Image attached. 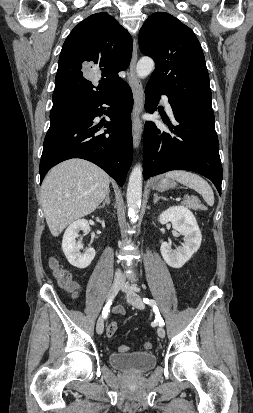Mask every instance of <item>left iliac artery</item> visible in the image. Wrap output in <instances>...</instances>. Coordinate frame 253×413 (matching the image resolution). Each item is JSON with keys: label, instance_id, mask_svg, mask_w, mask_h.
<instances>
[{"label": "left iliac artery", "instance_id": "obj_1", "mask_svg": "<svg viewBox=\"0 0 253 413\" xmlns=\"http://www.w3.org/2000/svg\"><path fill=\"white\" fill-rule=\"evenodd\" d=\"M143 302L152 307L154 313L156 314V320L159 322L161 326H164V320L160 315L159 309L157 307L156 301L149 298H143Z\"/></svg>", "mask_w": 253, "mask_h": 413}]
</instances>
